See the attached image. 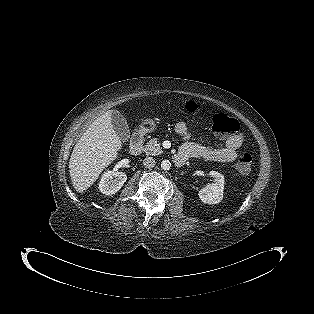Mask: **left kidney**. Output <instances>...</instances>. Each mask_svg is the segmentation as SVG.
Returning <instances> with one entry per match:
<instances>
[{
	"instance_id": "obj_1",
	"label": "left kidney",
	"mask_w": 314,
	"mask_h": 314,
	"mask_svg": "<svg viewBox=\"0 0 314 314\" xmlns=\"http://www.w3.org/2000/svg\"><path fill=\"white\" fill-rule=\"evenodd\" d=\"M209 175L214 178V183L201 189L198 196L203 203L217 204L223 199L224 176L217 171H210Z\"/></svg>"
}]
</instances>
